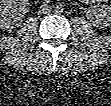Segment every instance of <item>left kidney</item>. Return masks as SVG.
Returning a JSON list of instances; mask_svg holds the SVG:
<instances>
[{
	"mask_svg": "<svg viewBox=\"0 0 111 106\" xmlns=\"http://www.w3.org/2000/svg\"><path fill=\"white\" fill-rule=\"evenodd\" d=\"M90 16L96 17V22L104 25L111 24V7L107 5L93 6L88 10Z\"/></svg>",
	"mask_w": 111,
	"mask_h": 106,
	"instance_id": "obj_1",
	"label": "left kidney"
}]
</instances>
